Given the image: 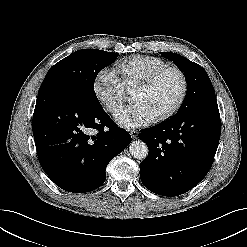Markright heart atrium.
Wrapping results in <instances>:
<instances>
[{"mask_svg":"<svg viewBox=\"0 0 247 247\" xmlns=\"http://www.w3.org/2000/svg\"><path fill=\"white\" fill-rule=\"evenodd\" d=\"M93 93L109 113H114L124 103L123 87L116 75L107 68H103L97 73L93 82Z\"/></svg>","mask_w":247,"mask_h":247,"instance_id":"d8ad5b80","label":"right heart atrium"}]
</instances>
